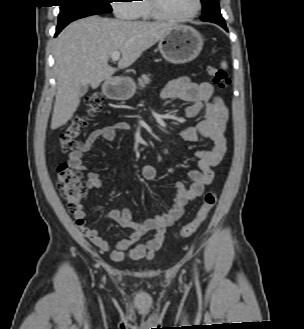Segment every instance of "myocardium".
I'll return each mask as SVG.
<instances>
[{
	"label": "myocardium",
	"instance_id": "myocardium-1",
	"mask_svg": "<svg viewBox=\"0 0 304 329\" xmlns=\"http://www.w3.org/2000/svg\"><path fill=\"white\" fill-rule=\"evenodd\" d=\"M150 11L158 20L170 21V22H183L196 17L202 9V0H196V7L194 11L188 15L174 16L165 12L160 4V0H148Z\"/></svg>",
	"mask_w": 304,
	"mask_h": 329
}]
</instances>
